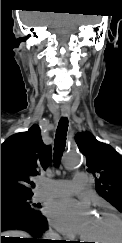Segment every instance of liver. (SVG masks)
I'll list each match as a JSON object with an SVG mask.
<instances>
[{
	"mask_svg": "<svg viewBox=\"0 0 122 243\" xmlns=\"http://www.w3.org/2000/svg\"><path fill=\"white\" fill-rule=\"evenodd\" d=\"M1 235L5 237L29 238V235L26 232L18 231V230L6 231L1 233Z\"/></svg>",
	"mask_w": 122,
	"mask_h": 243,
	"instance_id": "liver-1",
	"label": "liver"
}]
</instances>
